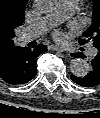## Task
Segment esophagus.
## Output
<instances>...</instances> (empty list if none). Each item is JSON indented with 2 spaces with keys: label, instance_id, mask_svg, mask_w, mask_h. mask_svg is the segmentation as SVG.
<instances>
[{
  "label": "esophagus",
  "instance_id": "34e87169",
  "mask_svg": "<svg viewBox=\"0 0 100 118\" xmlns=\"http://www.w3.org/2000/svg\"><path fill=\"white\" fill-rule=\"evenodd\" d=\"M50 48L54 51L65 52V50L63 48L58 47V46H50Z\"/></svg>",
  "mask_w": 100,
  "mask_h": 118
}]
</instances>
